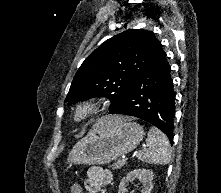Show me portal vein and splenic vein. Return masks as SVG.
<instances>
[{"label": "portal vein and splenic vein", "instance_id": "obj_1", "mask_svg": "<svg viewBox=\"0 0 221 193\" xmlns=\"http://www.w3.org/2000/svg\"><path fill=\"white\" fill-rule=\"evenodd\" d=\"M126 160H127L126 156H123L122 161H126Z\"/></svg>", "mask_w": 221, "mask_h": 193}]
</instances>
